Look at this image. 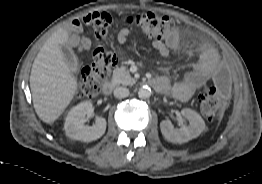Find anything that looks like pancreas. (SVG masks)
<instances>
[{
    "label": "pancreas",
    "instance_id": "obj_1",
    "mask_svg": "<svg viewBox=\"0 0 262 184\" xmlns=\"http://www.w3.org/2000/svg\"><path fill=\"white\" fill-rule=\"evenodd\" d=\"M112 82L115 85H132L135 83L126 67L115 68L113 70Z\"/></svg>",
    "mask_w": 262,
    "mask_h": 184
}]
</instances>
